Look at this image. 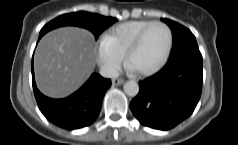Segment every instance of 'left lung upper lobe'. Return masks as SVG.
<instances>
[{
    "instance_id": "5c2ea615",
    "label": "left lung upper lobe",
    "mask_w": 238,
    "mask_h": 145,
    "mask_svg": "<svg viewBox=\"0 0 238 145\" xmlns=\"http://www.w3.org/2000/svg\"><path fill=\"white\" fill-rule=\"evenodd\" d=\"M161 20L170 27L173 34V48L170 57L180 53L183 50L198 47L195 36L189 29L169 19Z\"/></svg>"
}]
</instances>
